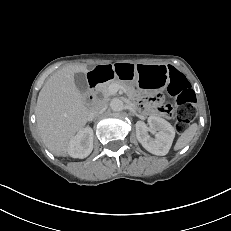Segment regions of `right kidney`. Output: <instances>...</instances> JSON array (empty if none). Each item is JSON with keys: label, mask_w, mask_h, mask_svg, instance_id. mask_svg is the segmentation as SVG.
I'll return each mask as SVG.
<instances>
[{"label": "right kidney", "mask_w": 231, "mask_h": 231, "mask_svg": "<svg viewBox=\"0 0 231 231\" xmlns=\"http://www.w3.org/2000/svg\"><path fill=\"white\" fill-rule=\"evenodd\" d=\"M93 130L86 127L80 130L69 142L68 154L73 158H85L93 150Z\"/></svg>", "instance_id": "right-kidney-1"}]
</instances>
